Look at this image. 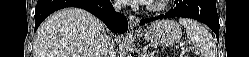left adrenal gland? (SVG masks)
Wrapping results in <instances>:
<instances>
[{"mask_svg": "<svg viewBox=\"0 0 249 57\" xmlns=\"http://www.w3.org/2000/svg\"><path fill=\"white\" fill-rule=\"evenodd\" d=\"M147 48H148L147 46L143 48L142 57H154L156 51L149 53L147 52Z\"/></svg>", "mask_w": 249, "mask_h": 57, "instance_id": "1", "label": "left adrenal gland"}]
</instances>
